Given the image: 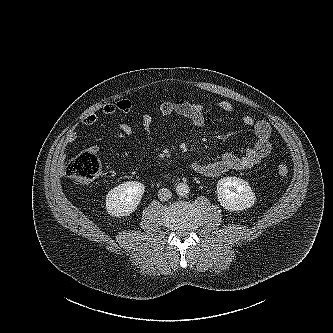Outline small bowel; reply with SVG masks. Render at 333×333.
I'll return each mask as SVG.
<instances>
[{
	"label": "small bowel",
	"instance_id": "small-bowel-1",
	"mask_svg": "<svg viewBox=\"0 0 333 333\" xmlns=\"http://www.w3.org/2000/svg\"><path fill=\"white\" fill-rule=\"evenodd\" d=\"M216 106L222 112H234L233 105L228 101H219L216 103ZM131 109V101L121 99L115 103L106 104L103 107V112L107 115H117L126 114L130 112ZM158 111L162 118H168L177 114L186 118L192 126L201 127L205 124V109L204 106L199 103L189 102L184 99L167 100L159 104ZM96 121L97 116L90 114L83 118L82 123L84 125H92ZM241 122L245 127L253 130L256 138L254 144L246 148L241 155L225 153L212 162L195 161L192 164V169L195 172L208 177H218L228 171L250 169L270 155L272 151V145L270 143V124L264 120H255L250 115L243 116ZM140 123L146 137V144L139 146L138 150L142 153H146L151 148L154 118L149 113H143L140 115ZM117 129L127 136H133L135 134L134 128L127 123L119 124ZM76 139L77 133L71 131L66 136L65 141L67 144H72ZM92 149L93 151L98 150L97 147H93ZM107 174L113 176L114 172L109 171Z\"/></svg>",
	"mask_w": 333,
	"mask_h": 333
}]
</instances>
